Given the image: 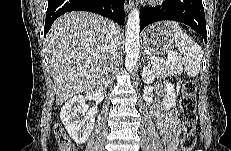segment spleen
<instances>
[{
	"label": "spleen",
	"instance_id": "spleen-1",
	"mask_svg": "<svg viewBox=\"0 0 231 151\" xmlns=\"http://www.w3.org/2000/svg\"><path fill=\"white\" fill-rule=\"evenodd\" d=\"M175 46L183 55L182 61L186 73L196 77L200 72L203 59L201 46L181 30L175 34Z\"/></svg>",
	"mask_w": 231,
	"mask_h": 151
}]
</instances>
